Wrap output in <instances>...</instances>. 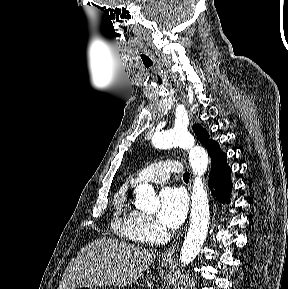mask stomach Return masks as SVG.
<instances>
[{"mask_svg":"<svg viewBox=\"0 0 288 289\" xmlns=\"http://www.w3.org/2000/svg\"><path fill=\"white\" fill-rule=\"evenodd\" d=\"M168 263H170V261H165V262H162V265L166 266ZM90 289H95V288H90Z\"/></svg>","mask_w":288,"mask_h":289,"instance_id":"1","label":"stomach"}]
</instances>
